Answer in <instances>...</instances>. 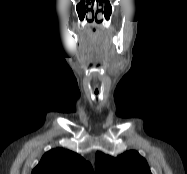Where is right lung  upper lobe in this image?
<instances>
[{
	"instance_id": "obj_1",
	"label": "right lung upper lobe",
	"mask_w": 187,
	"mask_h": 174,
	"mask_svg": "<svg viewBox=\"0 0 187 174\" xmlns=\"http://www.w3.org/2000/svg\"><path fill=\"white\" fill-rule=\"evenodd\" d=\"M32 174H94V171L80 155L57 148L44 154Z\"/></svg>"
}]
</instances>
